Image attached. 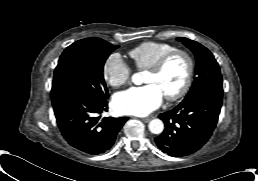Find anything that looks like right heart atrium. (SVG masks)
Instances as JSON below:
<instances>
[{
    "label": "right heart atrium",
    "mask_w": 258,
    "mask_h": 181,
    "mask_svg": "<svg viewBox=\"0 0 258 181\" xmlns=\"http://www.w3.org/2000/svg\"><path fill=\"white\" fill-rule=\"evenodd\" d=\"M131 73L130 66L118 54L110 55L103 66L104 79L112 87H119L127 83Z\"/></svg>",
    "instance_id": "obj_1"
}]
</instances>
